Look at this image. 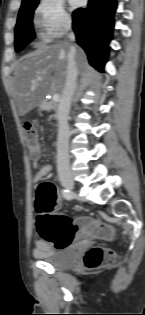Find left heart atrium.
<instances>
[{
	"label": "left heart atrium",
	"mask_w": 145,
	"mask_h": 315,
	"mask_svg": "<svg viewBox=\"0 0 145 315\" xmlns=\"http://www.w3.org/2000/svg\"><path fill=\"white\" fill-rule=\"evenodd\" d=\"M82 0H70V3L73 7H77L81 4Z\"/></svg>",
	"instance_id": "obj_1"
}]
</instances>
